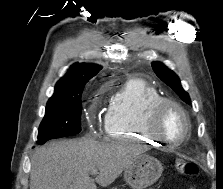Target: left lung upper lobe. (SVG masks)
<instances>
[{
  "mask_svg": "<svg viewBox=\"0 0 223 189\" xmlns=\"http://www.w3.org/2000/svg\"><path fill=\"white\" fill-rule=\"evenodd\" d=\"M152 68L164 83L171 87L183 101L190 104L189 96L182 88L180 80L174 72L159 62L152 63Z\"/></svg>",
  "mask_w": 223,
  "mask_h": 189,
  "instance_id": "left-lung-upper-lobe-1",
  "label": "left lung upper lobe"
}]
</instances>
